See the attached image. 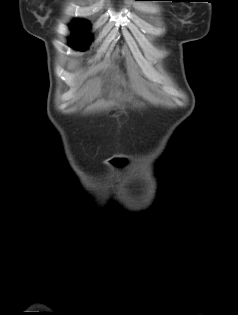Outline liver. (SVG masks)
I'll list each match as a JSON object with an SVG mask.
<instances>
[{
    "mask_svg": "<svg viewBox=\"0 0 238 315\" xmlns=\"http://www.w3.org/2000/svg\"><path fill=\"white\" fill-rule=\"evenodd\" d=\"M89 76V73L80 75L75 79L73 85L74 97L80 99L83 96H87L90 99L98 97L100 95V86L96 80L87 81L86 85L83 86L84 81ZM124 102V97H122L118 92L110 97L109 101L106 104L107 108L119 107L120 103Z\"/></svg>",
    "mask_w": 238,
    "mask_h": 315,
    "instance_id": "1",
    "label": "liver"
}]
</instances>
